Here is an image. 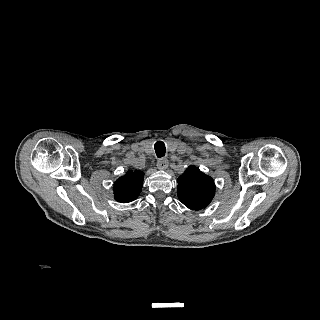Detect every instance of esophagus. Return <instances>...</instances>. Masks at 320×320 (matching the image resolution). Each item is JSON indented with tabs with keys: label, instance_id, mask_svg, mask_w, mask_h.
<instances>
[{
	"label": "esophagus",
	"instance_id": "1",
	"mask_svg": "<svg viewBox=\"0 0 320 320\" xmlns=\"http://www.w3.org/2000/svg\"><path fill=\"white\" fill-rule=\"evenodd\" d=\"M169 166V162L166 158H161L157 162V167L161 170H166Z\"/></svg>",
	"mask_w": 320,
	"mask_h": 320
}]
</instances>
